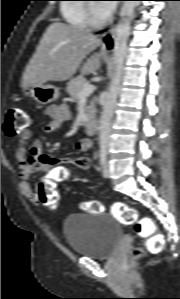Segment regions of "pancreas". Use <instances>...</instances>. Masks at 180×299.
I'll list each match as a JSON object with an SVG mask.
<instances>
[{
	"mask_svg": "<svg viewBox=\"0 0 180 299\" xmlns=\"http://www.w3.org/2000/svg\"><path fill=\"white\" fill-rule=\"evenodd\" d=\"M89 84V82L83 76H77L69 81L66 87L67 93L73 100H78V94L83 89L84 85ZM96 113L95 99H93L87 106V116L92 119Z\"/></svg>",
	"mask_w": 180,
	"mask_h": 299,
	"instance_id": "cf45deb5",
	"label": "pancreas"
}]
</instances>
